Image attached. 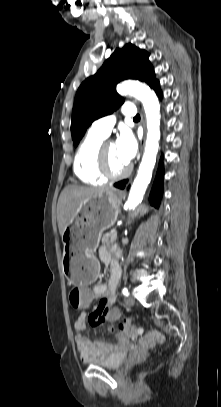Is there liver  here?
<instances>
[{
  "label": "liver",
  "instance_id": "liver-1",
  "mask_svg": "<svg viewBox=\"0 0 221 407\" xmlns=\"http://www.w3.org/2000/svg\"><path fill=\"white\" fill-rule=\"evenodd\" d=\"M106 187H83L70 185L61 192L57 204V221L60 235L75 218L79 207L88 198L109 190Z\"/></svg>",
  "mask_w": 221,
  "mask_h": 407
}]
</instances>
